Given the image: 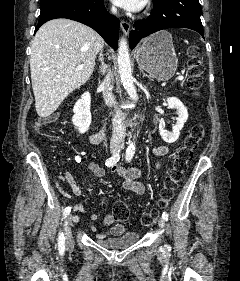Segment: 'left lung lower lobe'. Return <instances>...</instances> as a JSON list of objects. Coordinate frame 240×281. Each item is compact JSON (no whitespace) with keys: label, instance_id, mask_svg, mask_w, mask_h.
<instances>
[{"label":"left lung lower lobe","instance_id":"0a47b994","mask_svg":"<svg viewBox=\"0 0 240 281\" xmlns=\"http://www.w3.org/2000/svg\"><path fill=\"white\" fill-rule=\"evenodd\" d=\"M166 28H189L203 36L199 0H153L151 15L136 22L130 32V48L141 38Z\"/></svg>","mask_w":240,"mask_h":281}]
</instances>
